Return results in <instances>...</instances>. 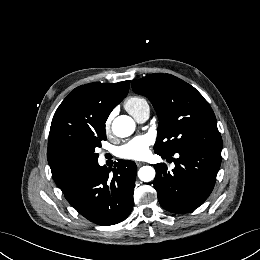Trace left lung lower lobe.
<instances>
[{"label":"left lung lower lobe","mask_w":260,"mask_h":260,"mask_svg":"<svg viewBox=\"0 0 260 260\" xmlns=\"http://www.w3.org/2000/svg\"><path fill=\"white\" fill-rule=\"evenodd\" d=\"M178 154L172 172L165 164L154 165V188L164 209L185 213L198 208L213 190L221 164V148H190Z\"/></svg>","instance_id":"left-lung-lower-lobe-1"}]
</instances>
